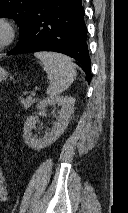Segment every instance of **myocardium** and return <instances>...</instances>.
Instances as JSON below:
<instances>
[{"label":"myocardium","instance_id":"f54148a6","mask_svg":"<svg viewBox=\"0 0 128 213\" xmlns=\"http://www.w3.org/2000/svg\"><path fill=\"white\" fill-rule=\"evenodd\" d=\"M0 26H2L6 31L5 38L2 43H0L1 51L13 44L17 37V28L14 22L5 16H0Z\"/></svg>","mask_w":128,"mask_h":213}]
</instances>
